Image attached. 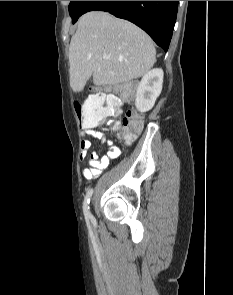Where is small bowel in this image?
Masks as SVG:
<instances>
[{
    "label": "small bowel",
    "instance_id": "c3829d8e",
    "mask_svg": "<svg viewBox=\"0 0 233 295\" xmlns=\"http://www.w3.org/2000/svg\"><path fill=\"white\" fill-rule=\"evenodd\" d=\"M83 133L87 139H84L81 142L80 157L82 160L87 158L88 151L91 148V140L107 143L108 145V152L106 155L99 157L97 152L93 151L88 156V166L83 170V176L86 179H93L98 177L102 170H104L109 165L111 160L118 158L121 151L119 147L113 145L110 142H106L104 134L93 129L91 126L84 128Z\"/></svg>",
    "mask_w": 233,
    "mask_h": 295
}]
</instances>
